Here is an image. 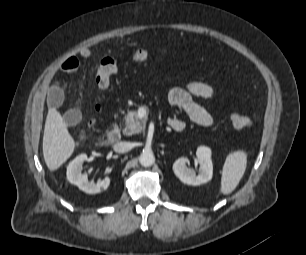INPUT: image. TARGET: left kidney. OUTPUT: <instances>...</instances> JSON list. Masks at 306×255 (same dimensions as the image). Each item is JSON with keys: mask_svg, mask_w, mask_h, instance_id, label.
<instances>
[{"mask_svg": "<svg viewBox=\"0 0 306 255\" xmlns=\"http://www.w3.org/2000/svg\"><path fill=\"white\" fill-rule=\"evenodd\" d=\"M196 158L194 163L199 164V173L196 175L194 169L189 168L187 164L190 163L188 158L181 157L173 164L174 174L185 184L188 185H201L207 183L212 179L213 165L211 161V149L206 146L197 148Z\"/></svg>", "mask_w": 306, "mask_h": 255, "instance_id": "left-kidney-1", "label": "left kidney"}]
</instances>
